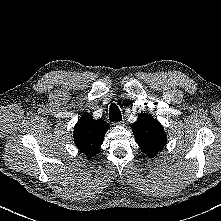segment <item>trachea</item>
<instances>
[{
	"mask_svg": "<svg viewBox=\"0 0 221 221\" xmlns=\"http://www.w3.org/2000/svg\"><path fill=\"white\" fill-rule=\"evenodd\" d=\"M109 119L112 122H117L122 120L121 112L116 104H111L109 108Z\"/></svg>",
	"mask_w": 221,
	"mask_h": 221,
	"instance_id": "3493384b",
	"label": "trachea"
}]
</instances>
